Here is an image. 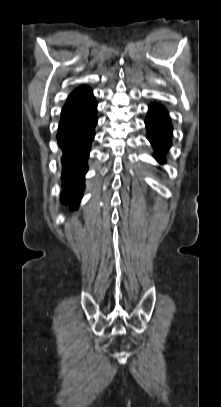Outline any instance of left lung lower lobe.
<instances>
[{
	"mask_svg": "<svg viewBox=\"0 0 221 407\" xmlns=\"http://www.w3.org/2000/svg\"><path fill=\"white\" fill-rule=\"evenodd\" d=\"M145 124L147 138L156 150L155 158L165 163L163 154L171 146L173 131L167 110L160 104L150 105Z\"/></svg>",
	"mask_w": 221,
	"mask_h": 407,
	"instance_id": "0a47b994",
	"label": "left lung lower lobe"
}]
</instances>
